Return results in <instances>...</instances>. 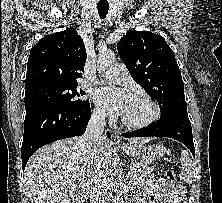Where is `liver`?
<instances>
[{"label":"liver","instance_id":"obj_1","mask_svg":"<svg viewBox=\"0 0 222 203\" xmlns=\"http://www.w3.org/2000/svg\"><path fill=\"white\" fill-rule=\"evenodd\" d=\"M149 138H131L143 145ZM120 158L113 144L104 140L92 154L82 137L58 140L43 146L29 159L24 171L25 189L31 203H84L100 175L108 176Z\"/></svg>","mask_w":222,"mask_h":203}]
</instances>
